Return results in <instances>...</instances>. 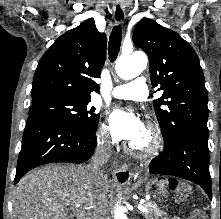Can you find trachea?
I'll use <instances>...</instances> for the list:
<instances>
[{
	"instance_id": "obj_1",
	"label": "trachea",
	"mask_w": 221,
	"mask_h": 219,
	"mask_svg": "<svg viewBox=\"0 0 221 219\" xmlns=\"http://www.w3.org/2000/svg\"><path fill=\"white\" fill-rule=\"evenodd\" d=\"M122 40V28L121 25H117L113 28L110 38H109V47L108 54L111 62H114L120 51Z\"/></svg>"
}]
</instances>
